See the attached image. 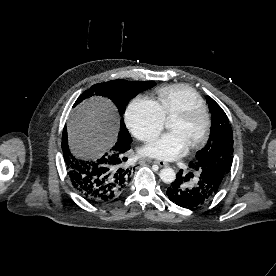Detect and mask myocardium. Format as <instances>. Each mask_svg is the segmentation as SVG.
I'll return each mask as SVG.
<instances>
[{
  "mask_svg": "<svg viewBox=\"0 0 276 276\" xmlns=\"http://www.w3.org/2000/svg\"><path fill=\"white\" fill-rule=\"evenodd\" d=\"M200 116L204 118V128L201 136L190 146L192 150L203 147L209 138L211 130V117L207 108L201 106H191L173 117V119L191 121Z\"/></svg>",
  "mask_w": 276,
  "mask_h": 276,
  "instance_id": "f54148a6",
  "label": "myocardium"
}]
</instances>
